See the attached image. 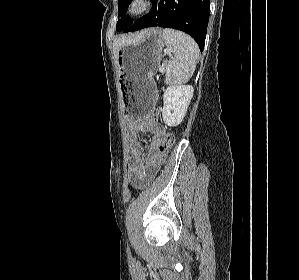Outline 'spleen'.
<instances>
[{
    "label": "spleen",
    "mask_w": 299,
    "mask_h": 280,
    "mask_svg": "<svg viewBox=\"0 0 299 280\" xmlns=\"http://www.w3.org/2000/svg\"><path fill=\"white\" fill-rule=\"evenodd\" d=\"M163 38L172 59L166 66L165 83L181 85L192 77L199 58V47L196 42L185 33L174 29L163 30Z\"/></svg>",
    "instance_id": "1"
}]
</instances>
